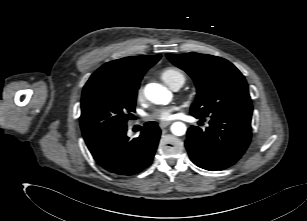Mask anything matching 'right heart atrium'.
<instances>
[{
	"mask_svg": "<svg viewBox=\"0 0 307 221\" xmlns=\"http://www.w3.org/2000/svg\"><path fill=\"white\" fill-rule=\"evenodd\" d=\"M135 97H136V100L139 102L144 99V89L141 84L136 89Z\"/></svg>",
	"mask_w": 307,
	"mask_h": 221,
	"instance_id": "1",
	"label": "right heart atrium"
}]
</instances>
